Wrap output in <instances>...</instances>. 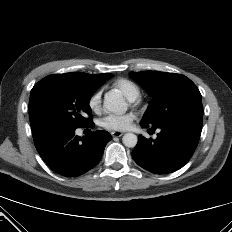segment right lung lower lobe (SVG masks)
<instances>
[{"instance_id": "98d812e1", "label": "right lung lower lobe", "mask_w": 232, "mask_h": 232, "mask_svg": "<svg viewBox=\"0 0 232 232\" xmlns=\"http://www.w3.org/2000/svg\"><path fill=\"white\" fill-rule=\"evenodd\" d=\"M34 144L43 160L66 177L82 175L96 166L111 135L96 131L89 136L75 135V129L51 128L33 133Z\"/></svg>"}]
</instances>
